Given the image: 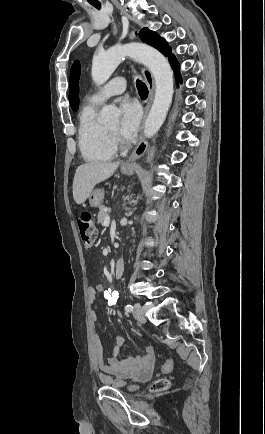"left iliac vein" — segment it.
I'll list each match as a JSON object with an SVG mask.
<instances>
[{"instance_id":"4c4485c4","label":"left iliac vein","mask_w":265,"mask_h":434,"mask_svg":"<svg viewBox=\"0 0 265 434\" xmlns=\"http://www.w3.org/2000/svg\"><path fill=\"white\" fill-rule=\"evenodd\" d=\"M133 316L141 324L146 322L144 310L140 303L134 304Z\"/></svg>"}]
</instances>
